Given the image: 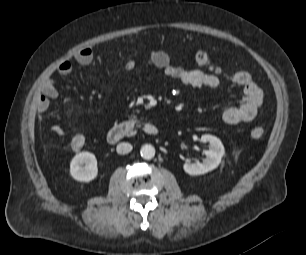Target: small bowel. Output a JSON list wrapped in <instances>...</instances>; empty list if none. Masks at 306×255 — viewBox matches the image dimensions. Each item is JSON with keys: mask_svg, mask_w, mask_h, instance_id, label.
Returning <instances> with one entry per match:
<instances>
[{"mask_svg": "<svg viewBox=\"0 0 306 255\" xmlns=\"http://www.w3.org/2000/svg\"><path fill=\"white\" fill-rule=\"evenodd\" d=\"M195 63L199 68H189L185 65H174L169 54L163 50H151L147 57L140 63L132 60L126 62L125 68L140 76L144 71L155 68L162 70L169 79L176 80L182 85L200 88H220L222 86L220 75L222 68L214 63L206 50H198L195 54ZM93 60L90 48L80 49L74 56V61L80 65H87ZM72 70V61H64L58 68V74L64 75ZM231 81L241 87L243 95L240 104H229L221 113L220 119L228 125L249 123L257 115L263 102V93L251 74L246 71H236L230 75ZM58 96L57 81L49 77L40 86L36 99V108L42 116L49 108L50 101ZM51 131L58 135L65 134L59 125L51 126Z\"/></svg>", "mask_w": 306, "mask_h": 255, "instance_id": "small-bowel-1", "label": "small bowel"}]
</instances>
